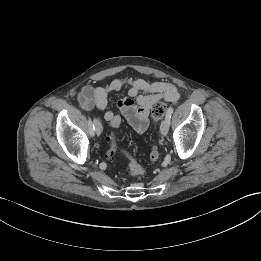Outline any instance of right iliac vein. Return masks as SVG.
<instances>
[{
  "mask_svg": "<svg viewBox=\"0 0 261 261\" xmlns=\"http://www.w3.org/2000/svg\"><path fill=\"white\" fill-rule=\"evenodd\" d=\"M95 132L97 135H100L102 132V125L98 119H95Z\"/></svg>",
  "mask_w": 261,
  "mask_h": 261,
  "instance_id": "63e3f726",
  "label": "right iliac vein"
}]
</instances>
